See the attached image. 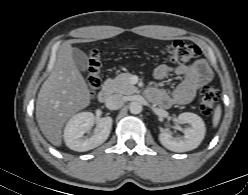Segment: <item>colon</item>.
<instances>
[{"mask_svg": "<svg viewBox=\"0 0 248 195\" xmlns=\"http://www.w3.org/2000/svg\"><path fill=\"white\" fill-rule=\"evenodd\" d=\"M166 61L182 64L200 55V48L196 44L175 40L164 47ZM104 60L102 51L92 50L86 69V80L91 92H95L101 84V71ZM219 92L212 86L202 87L199 94V109L203 115H211L218 101Z\"/></svg>", "mask_w": 248, "mask_h": 195, "instance_id": "5ec220e1", "label": "colon"}]
</instances>
